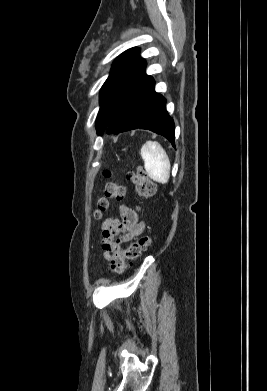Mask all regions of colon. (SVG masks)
<instances>
[{
    "label": "colon",
    "mask_w": 267,
    "mask_h": 391,
    "mask_svg": "<svg viewBox=\"0 0 267 391\" xmlns=\"http://www.w3.org/2000/svg\"><path fill=\"white\" fill-rule=\"evenodd\" d=\"M104 176L109 181L104 189L103 195L98 197L96 201L95 216L97 218L109 208L110 202L113 199H123L125 196V188L113 180V173L109 170L104 171ZM130 179L135 184L136 193L140 197H151L155 194L156 186L154 182L144 173L141 168L130 175ZM150 244V239L147 236H142L137 241L131 243L125 249L118 251L110 261V269L115 273H122L127 267L128 262L137 259L141 252Z\"/></svg>",
    "instance_id": "5ec220e1"
}]
</instances>
